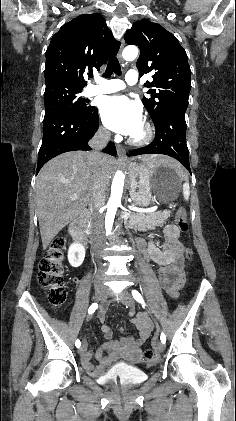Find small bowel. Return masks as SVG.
<instances>
[{"label":"small bowel","instance_id":"obj_1","mask_svg":"<svg viewBox=\"0 0 236 421\" xmlns=\"http://www.w3.org/2000/svg\"><path fill=\"white\" fill-rule=\"evenodd\" d=\"M164 234L168 238L170 243H174L179 251L182 250V246L179 243L180 230L176 225H174V224L167 225L164 229ZM74 282H76V281H74ZM102 316L103 315L101 314V317ZM139 322H140L139 329L141 331V342L139 343V345H140L149 336L152 327H151V323L148 320H146L145 318L140 320ZM88 354H90V353L88 352ZM100 356H102V355H101L100 352H98L97 358H99Z\"/></svg>","mask_w":236,"mask_h":421}]
</instances>
